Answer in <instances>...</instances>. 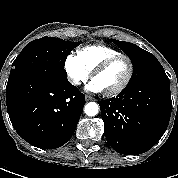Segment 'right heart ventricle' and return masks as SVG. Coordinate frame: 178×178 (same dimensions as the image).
Returning a JSON list of instances; mask_svg holds the SVG:
<instances>
[{
  "mask_svg": "<svg viewBox=\"0 0 178 178\" xmlns=\"http://www.w3.org/2000/svg\"><path fill=\"white\" fill-rule=\"evenodd\" d=\"M121 54L120 51L106 45H88L78 51V57L91 73L107 58Z\"/></svg>",
  "mask_w": 178,
  "mask_h": 178,
  "instance_id": "right-heart-ventricle-1",
  "label": "right heart ventricle"
}]
</instances>
